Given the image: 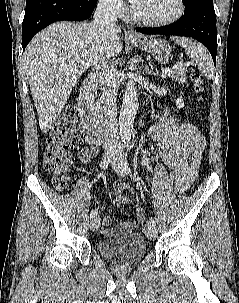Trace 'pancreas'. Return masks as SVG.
Masks as SVG:
<instances>
[{
    "instance_id": "obj_1",
    "label": "pancreas",
    "mask_w": 239,
    "mask_h": 303,
    "mask_svg": "<svg viewBox=\"0 0 239 303\" xmlns=\"http://www.w3.org/2000/svg\"><path fill=\"white\" fill-rule=\"evenodd\" d=\"M186 71L187 68L180 66L172 69L171 72L163 73L162 76L171 78L172 80L178 83H184L186 81Z\"/></svg>"
}]
</instances>
